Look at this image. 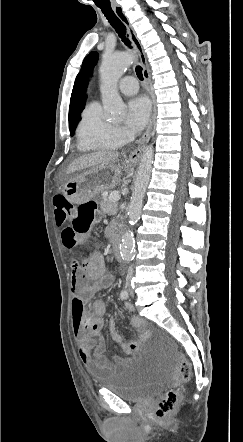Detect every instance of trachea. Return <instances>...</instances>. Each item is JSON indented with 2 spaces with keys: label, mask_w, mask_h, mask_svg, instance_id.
<instances>
[{
  "label": "trachea",
  "mask_w": 243,
  "mask_h": 442,
  "mask_svg": "<svg viewBox=\"0 0 243 442\" xmlns=\"http://www.w3.org/2000/svg\"><path fill=\"white\" fill-rule=\"evenodd\" d=\"M98 7L101 9L102 13L105 15L110 25L116 30L118 36L122 39L125 45L130 47L131 43L126 37V27L123 24V22L118 18V16L114 13L111 6H98ZM135 71L137 77L142 81L144 79L142 67L136 66Z\"/></svg>",
  "instance_id": "3493384b"
}]
</instances>
